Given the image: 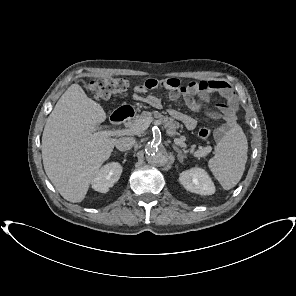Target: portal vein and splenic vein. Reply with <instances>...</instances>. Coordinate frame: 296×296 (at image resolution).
I'll use <instances>...</instances> for the list:
<instances>
[{
	"label": "portal vein and splenic vein",
	"mask_w": 296,
	"mask_h": 296,
	"mask_svg": "<svg viewBox=\"0 0 296 296\" xmlns=\"http://www.w3.org/2000/svg\"><path fill=\"white\" fill-rule=\"evenodd\" d=\"M152 120L150 118H144L140 120V122L130 129H117V130H105L94 133V136H120V135H128V134H140L145 131L151 124ZM174 143L180 147L186 148L187 145L184 142V139L175 138ZM210 151L209 147L203 149L204 153H208ZM195 156H199V154L194 153Z\"/></svg>",
	"instance_id": "1"
}]
</instances>
